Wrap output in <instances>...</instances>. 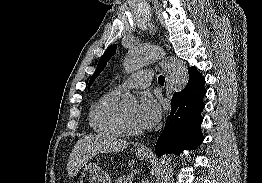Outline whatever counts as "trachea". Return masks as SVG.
<instances>
[{
  "instance_id": "1",
  "label": "trachea",
  "mask_w": 262,
  "mask_h": 183,
  "mask_svg": "<svg viewBox=\"0 0 262 183\" xmlns=\"http://www.w3.org/2000/svg\"><path fill=\"white\" fill-rule=\"evenodd\" d=\"M158 82H159L161 85H164L165 77L162 76V75H160V76L158 77Z\"/></svg>"
}]
</instances>
